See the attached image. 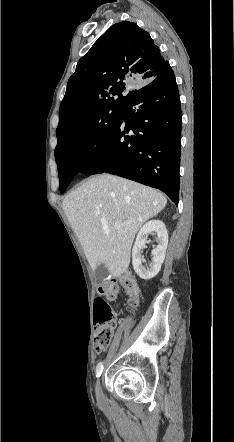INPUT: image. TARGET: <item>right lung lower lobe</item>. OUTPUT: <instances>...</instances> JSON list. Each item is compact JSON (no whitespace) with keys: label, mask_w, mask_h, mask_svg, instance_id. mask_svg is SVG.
Returning <instances> with one entry per match:
<instances>
[{"label":"right lung lower lobe","mask_w":234,"mask_h":442,"mask_svg":"<svg viewBox=\"0 0 234 442\" xmlns=\"http://www.w3.org/2000/svg\"><path fill=\"white\" fill-rule=\"evenodd\" d=\"M181 124L179 92L167 64L121 106L116 126L79 172L118 175L160 189L178 203Z\"/></svg>","instance_id":"1"}]
</instances>
